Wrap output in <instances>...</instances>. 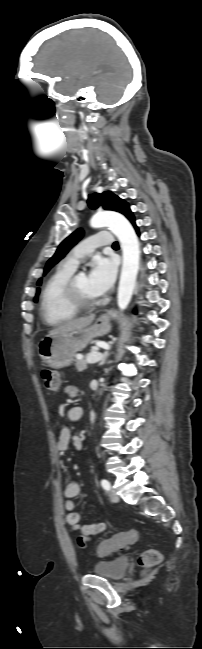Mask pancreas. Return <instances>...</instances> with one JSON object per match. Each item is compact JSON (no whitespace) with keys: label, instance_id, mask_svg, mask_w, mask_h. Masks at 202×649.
<instances>
[{"label":"pancreas","instance_id":"obj_1","mask_svg":"<svg viewBox=\"0 0 202 649\" xmlns=\"http://www.w3.org/2000/svg\"><path fill=\"white\" fill-rule=\"evenodd\" d=\"M92 352H96L97 354L101 355V353L98 352L97 349H92ZM87 365H88V363H87L86 360H77V361H76V364H75L76 369H77V371H79V372H82V371L86 370V369H87Z\"/></svg>","mask_w":202,"mask_h":649}]
</instances>
